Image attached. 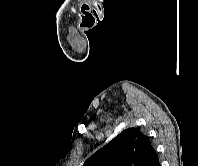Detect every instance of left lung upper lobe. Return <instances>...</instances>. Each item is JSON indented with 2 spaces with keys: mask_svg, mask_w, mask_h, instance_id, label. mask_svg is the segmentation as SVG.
I'll return each instance as SVG.
<instances>
[{
  "mask_svg": "<svg viewBox=\"0 0 198 166\" xmlns=\"http://www.w3.org/2000/svg\"><path fill=\"white\" fill-rule=\"evenodd\" d=\"M157 154L148 136L137 128L118 134L83 166H151Z\"/></svg>",
  "mask_w": 198,
  "mask_h": 166,
  "instance_id": "left-lung-upper-lobe-1",
  "label": "left lung upper lobe"
}]
</instances>
